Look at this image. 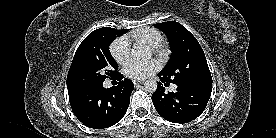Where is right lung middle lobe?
Segmentation results:
<instances>
[{"label": "right lung middle lobe", "mask_w": 276, "mask_h": 138, "mask_svg": "<svg viewBox=\"0 0 276 138\" xmlns=\"http://www.w3.org/2000/svg\"><path fill=\"white\" fill-rule=\"evenodd\" d=\"M127 31L103 27L82 41L67 75L68 92L103 83L106 78L118 75V65L110 55L109 45Z\"/></svg>", "instance_id": "dd1d6c3e"}]
</instances>
